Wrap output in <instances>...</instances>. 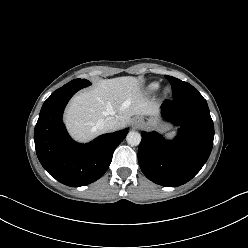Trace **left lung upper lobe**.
Listing matches in <instances>:
<instances>
[{
    "label": "left lung upper lobe",
    "instance_id": "5c2ea615",
    "mask_svg": "<svg viewBox=\"0 0 248 248\" xmlns=\"http://www.w3.org/2000/svg\"><path fill=\"white\" fill-rule=\"evenodd\" d=\"M165 77L172 85L173 100L201 96V94L189 83L172 76L165 75Z\"/></svg>",
    "mask_w": 248,
    "mask_h": 248
}]
</instances>
